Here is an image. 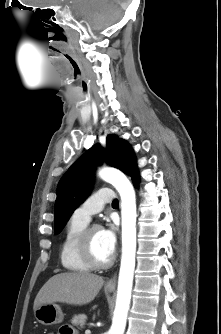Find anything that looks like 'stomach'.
I'll list each match as a JSON object with an SVG mask.
<instances>
[{"label":"stomach","instance_id":"stomach-1","mask_svg":"<svg viewBox=\"0 0 221 334\" xmlns=\"http://www.w3.org/2000/svg\"><path fill=\"white\" fill-rule=\"evenodd\" d=\"M107 292H112L113 289H106ZM36 320L43 325L59 324L64 319V314L59 305L48 303L39 306L34 310Z\"/></svg>","mask_w":221,"mask_h":334}]
</instances>
